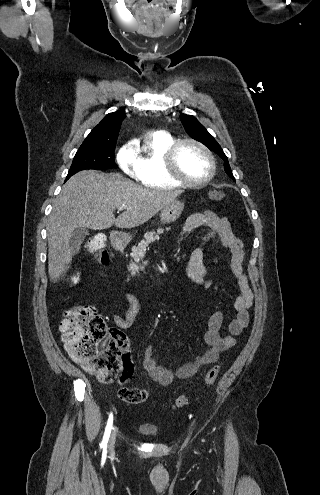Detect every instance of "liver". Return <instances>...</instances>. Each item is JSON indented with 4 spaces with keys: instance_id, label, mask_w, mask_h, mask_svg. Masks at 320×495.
Instances as JSON below:
<instances>
[{
    "instance_id": "obj_1",
    "label": "liver",
    "mask_w": 320,
    "mask_h": 495,
    "mask_svg": "<svg viewBox=\"0 0 320 495\" xmlns=\"http://www.w3.org/2000/svg\"><path fill=\"white\" fill-rule=\"evenodd\" d=\"M182 192L143 188L120 174L104 175L93 170L75 174L63 185L47 225L50 279L55 282L71 262L69 240L76 228L142 225ZM120 206L126 210L115 218L114 210Z\"/></svg>"
}]
</instances>
